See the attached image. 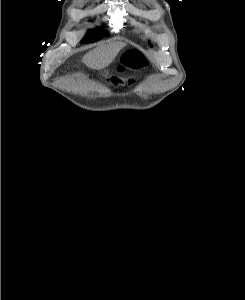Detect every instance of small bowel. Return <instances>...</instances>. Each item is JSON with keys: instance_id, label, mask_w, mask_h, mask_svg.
Instances as JSON below:
<instances>
[{"instance_id": "c3829d8e", "label": "small bowel", "mask_w": 245, "mask_h": 300, "mask_svg": "<svg viewBox=\"0 0 245 300\" xmlns=\"http://www.w3.org/2000/svg\"><path fill=\"white\" fill-rule=\"evenodd\" d=\"M110 82H111L112 84L116 85V84L118 83V79H117V78H112V79L110 80Z\"/></svg>"}]
</instances>
